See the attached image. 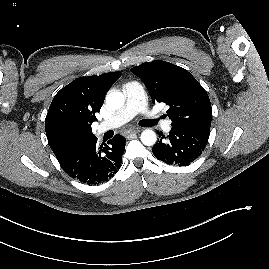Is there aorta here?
I'll list each match as a JSON object with an SVG mask.
<instances>
[{
	"label": "aorta",
	"instance_id": "aorta-1",
	"mask_svg": "<svg viewBox=\"0 0 269 269\" xmlns=\"http://www.w3.org/2000/svg\"><path fill=\"white\" fill-rule=\"evenodd\" d=\"M125 103L124 95L117 90H111L106 95V104L112 109H120ZM141 141L146 146H152L156 143V133L151 129H146L141 133Z\"/></svg>",
	"mask_w": 269,
	"mask_h": 269
}]
</instances>
